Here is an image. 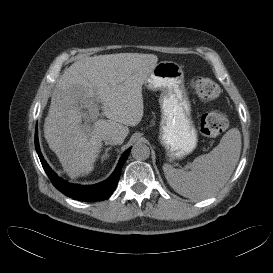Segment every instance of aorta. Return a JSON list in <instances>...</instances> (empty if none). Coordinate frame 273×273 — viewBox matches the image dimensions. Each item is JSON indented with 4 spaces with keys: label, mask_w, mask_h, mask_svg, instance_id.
Wrapping results in <instances>:
<instances>
[{
    "label": "aorta",
    "mask_w": 273,
    "mask_h": 273,
    "mask_svg": "<svg viewBox=\"0 0 273 273\" xmlns=\"http://www.w3.org/2000/svg\"><path fill=\"white\" fill-rule=\"evenodd\" d=\"M131 154L137 160H146L150 156V149L144 143H136L132 147Z\"/></svg>",
    "instance_id": "762f6f07"
}]
</instances>
